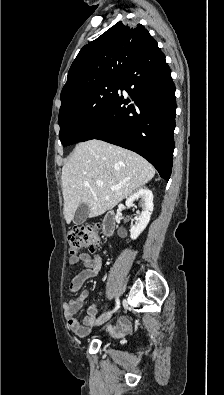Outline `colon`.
Segmentation results:
<instances>
[{
    "label": "colon",
    "instance_id": "obj_1",
    "mask_svg": "<svg viewBox=\"0 0 224 395\" xmlns=\"http://www.w3.org/2000/svg\"><path fill=\"white\" fill-rule=\"evenodd\" d=\"M67 243L72 255L84 247L94 249L99 243L97 229L94 227L75 228L68 233Z\"/></svg>",
    "mask_w": 224,
    "mask_h": 395
}]
</instances>
